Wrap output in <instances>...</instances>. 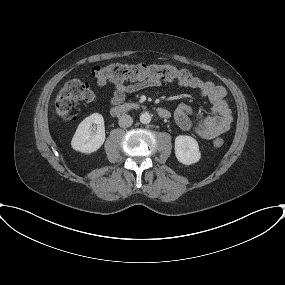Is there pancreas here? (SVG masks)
<instances>
[{
    "mask_svg": "<svg viewBox=\"0 0 285 285\" xmlns=\"http://www.w3.org/2000/svg\"><path fill=\"white\" fill-rule=\"evenodd\" d=\"M134 106H139L138 104H134Z\"/></svg>",
    "mask_w": 285,
    "mask_h": 285,
    "instance_id": "1",
    "label": "pancreas"
}]
</instances>
